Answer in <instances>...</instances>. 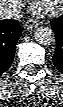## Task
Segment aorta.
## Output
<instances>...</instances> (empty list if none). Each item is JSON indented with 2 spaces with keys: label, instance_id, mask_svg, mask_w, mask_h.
<instances>
[{
  "label": "aorta",
  "instance_id": "1",
  "mask_svg": "<svg viewBox=\"0 0 63 107\" xmlns=\"http://www.w3.org/2000/svg\"><path fill=\"white\" fill-rule=\"evenodd\" d=\"M55 35L49 27H38L34 33V39L38 44L49 45L54 41Z\"/></svg>",
  "mask_w": 63,
  "mask_h": 107
}]
</instances>
